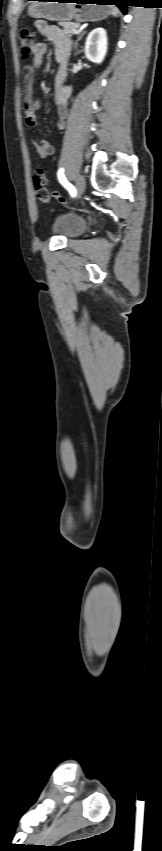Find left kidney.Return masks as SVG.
Here are the masks:
<instances>
[{"label":"left kidney","instance_id":"5707ae66","mask_svg":"<svg viewBox=\"0 0 162 851\" xmlns=\"http://www.w3.org/2000/svg\"><path fill=\"white\" fill-rule=\"evenodd\" d=\"M107 45L106 30L103 28L92 30L85 42L86 58L93 63H102L107 53Z\"/></svg>","mask_w":162,"mask_h":851}]
</instances>
